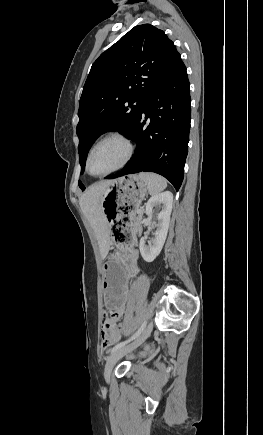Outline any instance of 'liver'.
<instances>
[{"mask_svg": "<svg viewBox=\"0 0 263 435\" xmlns=\"http://www.w3.org/2000/svg\"><path fill=\"white\" fill-rule=\"evenodd\" d=\"M114 180H103L90 186L79 200L82 212L88 219L97 238L101 258L104 260L109 252L111 237L109 225L103 213L101 198Z\"/></svg>", "mask_w": 263, "mask_h": 435, "instance_id": "6515ba94", "label": "liver"}]
</instances>
